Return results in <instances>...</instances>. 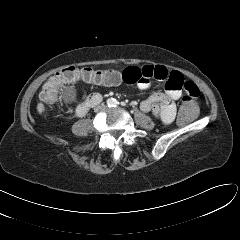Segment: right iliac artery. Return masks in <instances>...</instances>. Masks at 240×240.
Returning <instances> with one entry per match:
<instances>
[{"instance_id": "right-iliac-artery-1", "label": "right iliac artery", "mask_w": 240, "mask_h": 240, "mask_svg": "<svg viewBox=\"0 0 240 240\" xmlns=\"http://www.w3.org/2000/svg\"><path fill=\"white\" fill-rule=\"evenodd\" d=\"M107 104H108L109 107L113 106L114 99H108Z\"/></svg>"}]
</instances>
